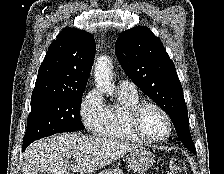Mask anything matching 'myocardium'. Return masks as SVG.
I'll return each instance as SVG.
<instances>
[{"instance_id": "1", "label": "myocardium", "mask_w": 224, "mask_h": 174, "mask_svg": "<svg viewBox=\"0 0 224 174\" xmlns=\"http://www.w3.org/2000/svg\"><path fill=\"white\" fill-rule=\"evenodd\" d=\"M148 108H153V109L157 110L165 118L167 125H168V130L164 136L159 137V138H153V137L147 136L143 132L142 127H141V118H142L144 111ZM128 122H129V126H130L132 132L141 141L148 142V143L164 142L165 140H167L170 137L172 130H173V124H172V120H171V117L169 116V114L160 105L153 103V102H144L143 101V102L138 103L136 106H134L129 113Z\"/></svg>"}]
</instances>
